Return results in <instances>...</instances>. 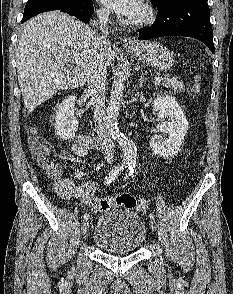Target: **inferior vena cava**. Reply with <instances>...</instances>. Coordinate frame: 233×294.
<instances>
[{
    "label": "inferior vena cava",
    "mask_w": 233,
    "mask_h": 294,
    "mask_svg": "<svg viewBox=\"0 0 233 294\" xmlns=\"http://www.w3.org/2000/svg\"><path fill=\"white\" fill-rule=\"evenodd\" d=\"M110 11L108 9H100L97 16L100 22L101 34L95 35L96 51L90 60L87 77L89 84V93L91 102L94 107L95 127L100 140L102 153L109 163L114 159V142L106 125V108H105V86L107 63L104 57V49L109 44L107 39L109 35L108 22Z\"/></svg>",
    "instance_id": "obj_1"
}]
</instances>
